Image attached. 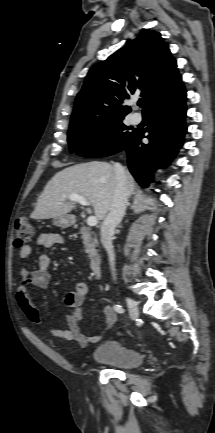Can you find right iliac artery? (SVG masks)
Here are the masks:
<instances>
[{
	"label": "right iliac artery",
	"mask_w": 215,
	"mask_h": 433,
	"mask_svg": "<svg viewBox=\"0 0 215 433\" xmlns=\"http://www.w3.org/2000/svg\"><path fill=\"white\" fill-rule=\"evenodd\" d=\"M114 310L118 313H124L125 309L121 305H114Z\"/></svg>",
	"instance_id": "right-iliac-artery-1"
}]
</instances>
